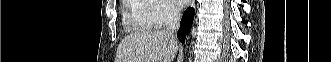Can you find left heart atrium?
Masks as SVG:
<instances>
[{"label":"left heart atrium","mask_w":331,"mask_h":62,"mask_svg":"<svg viewBox=\"0 0 331 62\" xmlns=\"http://www.w3.org/2000/svg\"><path fill=\"white\" fill-rule=\"evenodd\" d=\"M188 0H173V3L179 7H183L187 4Z\"/></svg>","instance_id":"1"}]
</instances>
